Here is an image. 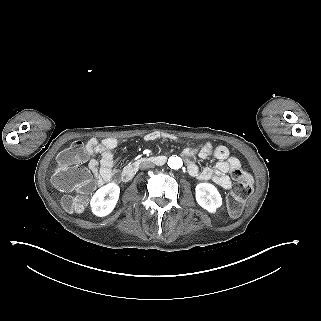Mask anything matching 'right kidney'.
Listing matches in <instances>:
<instances>
[{"instance_id": "1", "label": "right kidney", "mask_w": 321, "mask_h": 321, "mask_svg": "<svg viewBox=\"0 0 321 321\" xmlns=\"http://www.w3.org/2000/svg\"><path fill=\"white\" fill-rule=\"evenodd\" d=\"M119 193L120 188L114 183L99 188L90 201L93 214L99 217L110 214L116 206Z\"/></svg>"}]
</instances>
